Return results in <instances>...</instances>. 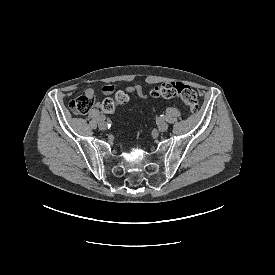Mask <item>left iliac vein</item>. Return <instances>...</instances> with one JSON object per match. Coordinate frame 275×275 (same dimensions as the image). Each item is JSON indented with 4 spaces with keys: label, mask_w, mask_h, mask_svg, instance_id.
<instances>
[{
    "label": "left iliac vein",
    "mask_w": 275,
    "mask_h": 275,
    "mask_svg": "<svg viewBox=\"0 0 275 275\" xmlns=\"http://www.w3.org/2000/svg\"><path fill=\"white\" fill-rule=\"evenodd\" d=\"M168 129V124L164 121H162L159 125H158V130L161 132H164Z\"/></svg>",
    "instance_id": "obj_1"
}]
</instances>
